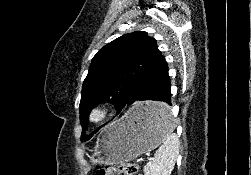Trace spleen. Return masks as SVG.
I'll use <instances>...</instances> for the list:
<instances>
[{"label": "spleen", "mask_w": 251, "mask_h": 175, "mask_svg": "<svg viewBox=\"0 0 251 175\" xmlns=\"http://www.w3.org/2000/svg\"><path fill=\"white\" fill-rule=\"evenodd\" d=\"M154 117L155 123H160L165 137L161 147L156 149L154 159L145 165V175H170L179 153V139L176 133H172L175 127L168 109L159 107Z\"/></svg>", "instance_id": "obj_1"}]
</instances>
